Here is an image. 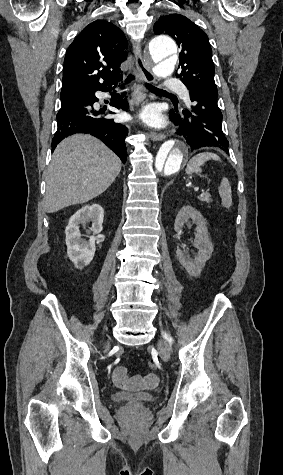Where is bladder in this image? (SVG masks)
<instances>
[{
    "label": "bladder",
    "instance_id": "obj_1",
    "mask_svg": "<svg viewBox=\"0 0 283 475\" xmlns=\"http://www.w3.org/2000/svg\"><path fill=\"white\" fill-rule=\"evenodd\" d=\"M110 397L115 400H121L125 405L131 406H145L157 399V395L155 393L149 395H139L133 392H111Z\"/></svg>",
    "mask_w": 283,
    "mask_h": 475
}]
</instances>
